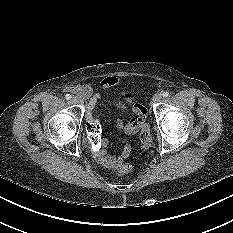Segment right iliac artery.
<instances>
[{
  "label": "right iliac artery",
  "mask_w": 233,
  "mask_h": 233,
  "mask_svg": "<svg viewBox=\"0 0 233 233\" xmlns=\"http://www.w3.org/2000/svg\"><path fill=\"white\" fill-rule=\"evenodd\" d=\"M65 98H66L67 100H70V99L72 98V96H71L70 94H66V95H65Z\"/></svg>",
  "instance_id": "right-iliac-artery-1"
}]
</instances>
